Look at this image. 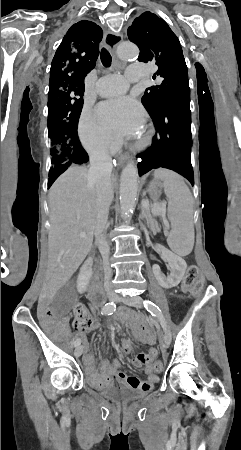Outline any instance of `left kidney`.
<instances>
[{
    "mask_svg": "<svg viewBox=\"0 0 241 450\" xmlns=\"http://www.w3.org/2000/svg\"><path fill=\"white\" fill-rule=\"evenodd\" d=\"M159 248L161 256H163L164 260H166L170 266V276H164L159 266H153V274L159 286H162V288H167V290L168 288H175V286L180 284L185 274L187 264L183 258L176 256V254H172V252H170V250H166L164 246H160L159 244Z\"/></svg>",
    "mask_w": 241,
    "mask_h": 450,
    "instance_id": "left-kidney-1",
    "label": "left kidney"
}]
</instances>
